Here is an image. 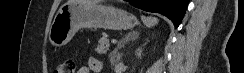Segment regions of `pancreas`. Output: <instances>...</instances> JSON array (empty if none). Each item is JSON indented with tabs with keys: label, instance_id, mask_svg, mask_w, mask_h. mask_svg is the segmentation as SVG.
Returning <instances> with one entry per match:
<instances>
[{
	"label": "pancreas",
	"instance_id": "pancreas-1",
	"mask_svg": "<svg viewBox=\"0 0 244 73\" xmlns=\"http://www.w3.org/2000/svg\"><path fill=\"white\" fill-rule=\"evenodd\" d=\"M110 44L109 41L106 37H102L99 42H98V46L96 48V52L99 55H105L107 54V51L109 50ZM114 62H116V60H114Z\"/></svg>",
	"mask_w": 244,
	"mask_h": 73
}]
</instances>
